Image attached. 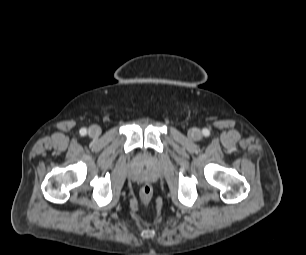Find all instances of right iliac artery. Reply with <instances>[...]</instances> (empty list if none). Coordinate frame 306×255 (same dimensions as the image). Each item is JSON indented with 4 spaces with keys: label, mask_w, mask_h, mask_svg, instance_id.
I'll return each instance as SVG.
<instances>
[{
    "label": "right iliac artery",
    "mask_w": 306,
    "mask_h": 255,
    "mask_svg": "<svg viewBox=\"0 0 306 255\" xmlns=\"http://www.w3.org/2000/svg\"><path fill=\"white\" fill-rule=\"evenodd\" d=\"M86 133H87V130L85 128L80 129V134L82 136L86 135Z\"/></svg>",
    "instance_id": "obj_1"
}]
</instances>
